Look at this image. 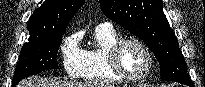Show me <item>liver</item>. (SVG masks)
I'll return each instance as SVG.
<instances>
[{"label":"liver","mask_w":205,"mask_h":87,"mask_svg":"<svg viewBox=\"0 0 205 87\" xmlns=\"http://www.w3.org/2000/svg\"><path fill=\"white\" fill-rule=\"evenodd\" d=\"M18 87H114L110 84L99 82L78 83L61 81L57 79L38 78L37 76L29 77L18 84Z\"/></svg>","instance_id":"liver-1"}]
</instances>
